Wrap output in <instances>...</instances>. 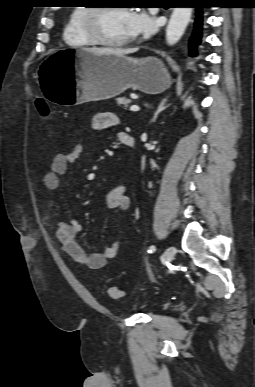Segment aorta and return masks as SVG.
Instances as JSON below:
<instances>
[{"mask_svg":"<svg viewBox=\"0 0 255 387\" xmlns=\"http://www.w3.org/2000/svg\"><path fill=\"white\" fill-rule=\"evenodd\" d=\"M192 15L191 7H175L166 28V42L175 45L184 34Z\"/></svg>","mask_w":255,"mask_h":387,"instance_id":"obj_1","label":"aorta"}]
</instances>
